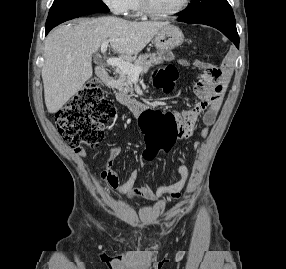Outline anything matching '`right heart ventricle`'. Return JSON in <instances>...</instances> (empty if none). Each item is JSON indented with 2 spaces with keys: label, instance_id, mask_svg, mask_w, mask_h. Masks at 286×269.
Returning <instances> with one entry per match:
<instances>
[{
  "label": "right heart ventricle",
  "instance_id": "e07e8e85",
  "mask_svg": "<svg viewBox=\"0 0 286 269\" xmlns=\"http://www.w3.org/2000/svg\"><path fill=\"white\" fill-rule=\"evenodd\" d=\"M127 13L131 14L132 16H138L141 14L138 0H128Z\"/></svg>",
  "mask_w": 286,
  "mask_h": 269
}]
</instances>
